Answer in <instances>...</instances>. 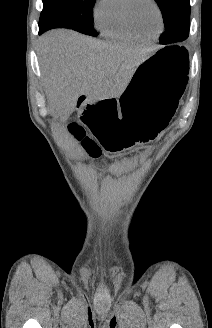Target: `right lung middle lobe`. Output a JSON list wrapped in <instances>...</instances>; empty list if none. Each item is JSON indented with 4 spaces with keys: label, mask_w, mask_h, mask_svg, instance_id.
I'll return each instance as SVG.
<instances>
[{
    "label": "right lung middle lobe",
    "mask_w": 212,
    "mask_h": 328,
    "mask_svg": "<svg viewBox=\"0 0 212 328\" xmlns=\"http://www.w3.org/2000/svg\"><path fill=\"white\" fill-rule=\"evenodd\" d=\"M95 0H43L39 27L69 28L90 36H97L92 21Z\"/></svg>",
    "instance_id": "dd1d6c3e"
}]
</instances>
